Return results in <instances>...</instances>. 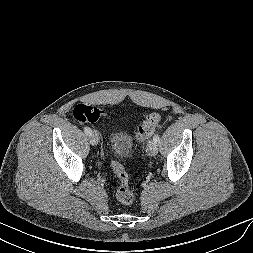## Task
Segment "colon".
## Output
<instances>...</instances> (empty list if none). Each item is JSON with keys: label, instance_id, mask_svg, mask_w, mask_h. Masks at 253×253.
Listing matches in <instances>:
<instances>
[{"label": "colon", "instance_id": "colon-1", "mask_svg": "<svg viewBox=\"0 0 253 253\" xmlns=\"http://www.w3.org/2000/svg\"><path fill=\"white\" fill-rule=\"evenodd\" d=\"M73 117L81 123L93 122L96 119V109L83 104L77 105L73 109ZM160 120L161 116L159 113H150L137 129L135 139L137 141H144L151 137L159 126ZM111 166L120 183L116 192L117 200L123 205H129L134 200V193L130 187L129 176L120 162L112 161Z\"/></svg>", "mask_w": 253, "mask_h": 253}]
</instances>
